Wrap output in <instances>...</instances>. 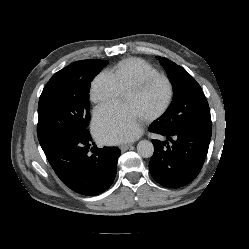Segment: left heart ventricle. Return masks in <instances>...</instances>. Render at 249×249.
Here are the masks:
<instances>
[{"instance_id":"b2bd125f","label":"left heart ventricle","mask_w":249,"mask_h":249,"mask_svg":"<svg viewBox=\"0 0 249 249\" xmlns=\"http://www.w3.org/2000/svg\"><path fill=\"white\" fill-rule=\"evenodd\" d=\"M168 87L164 81H156L141 92H127L123 96L125 105L131 106L141 119L157 112L166 102Z\"/></svg>"}]
</instances>
